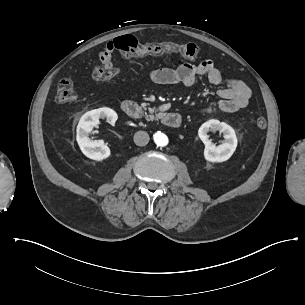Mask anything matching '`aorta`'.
<instances>
[{"label":"aorta","instance_id":"1","mask_svg":"<svg viewBox=\"0 0 305 305\" xmlns=\"http://www.w3.org/2000/svg\"><path fill=\"white\" fill-rule=\"evenodd\" d=\"M153 138L155 143L160 147H164L168 144V137L162 132H156Z\"/></svg>","mask_w":305,"mask_h":305}]
</instances>
